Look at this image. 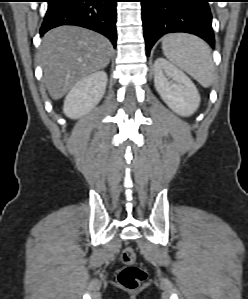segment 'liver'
I'll use <instances>...</instances> for the list:
<instances>
[{"instance_id": "obj_1", "label": "liver", "mask_w": 248, "mask_h": 299, "mask_svg": "<svg viewBox=\"0 0 248 299\" xmlns=\"http://www.w3.org/2000/svg\"><path fill=\"white\" fill-rule=\"evenodd\" d=\"M112 45L104 36L76 26L47 32L40 47L43 79L54 100L62 98L82 78L104 69Z\"/></svg>"}]
</instances>
